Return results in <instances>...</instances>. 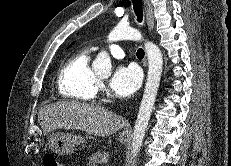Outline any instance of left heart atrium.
Listing matches in <instances>:
<instances>
[{
    "instance_id": "obj_1",
    "label": "left heart atrium",
    "mask_w": 231,
    "mask_h": 166,
    "mask_svg": "<svg viewBox=\"0 0 231 166\" xmlns=\"http://www.w3.org/2000/svg\"><path fill=\"white\" fill-rule=\"evenodd\" d=\"M140 69L133 65L119 66L110 79V87L117 96L127 98L133 95L141 85Z\"/></svg>"
}]
</instances>
